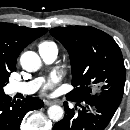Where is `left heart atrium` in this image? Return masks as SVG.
<instances>
[{
    "label": "left heart atrium",
    "instance_id": "1",
    "mask_svg": "<svg viewBox=\"0 0 130 130\" xmlns=\"http://www.w3.org/2000/svg\"><path fill=\"white\" fill-rule=\"evenodd\" d=\"M57 82V79L52 77L50 78L44 85H43V92H46L48 90H50L54 85L55 83Z\"/></svg>",
    "mask_w": 130,
    "mask_h": 130
}]
</instances>
